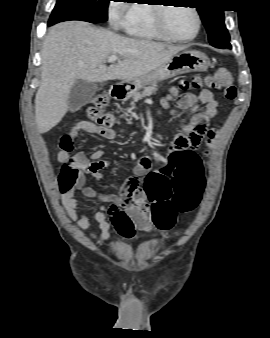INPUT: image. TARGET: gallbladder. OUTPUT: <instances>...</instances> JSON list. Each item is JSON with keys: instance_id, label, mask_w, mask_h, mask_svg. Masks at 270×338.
Instances as JSON below:
<instances>
[{"instance_id": "bac80fb5", "label": "gallbladder", "mask_w": 270, "mask_h": 338, "mask_svg": "<svg viewBox=\"0 0 270 338\" xmlns=\"http://www.w3.org/2000/svg\"><path fill=\"white\" fill-rule=\"evenodd\" d=\"M99 89L96 83L77 80L68 96V106L71 111H77L86 105Z\"/></svg>"}]
</instances>
